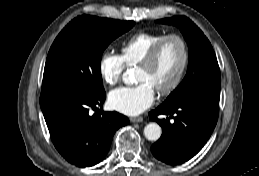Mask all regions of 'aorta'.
I'll return each mask as SVG.
<instances>
[{
	"label": "aorta",
	"mask_w": 259,
	"mask_h": 176,
	"mask_svg": "<svg viewBox=\"0 0 259 176\" xmlns=\"http://www.w3.org/2000/svg\"><path fill=\"white\" fill-rule=\"evenodd\" d=\"M122 78L125 84H130L133 82L132 75L129 71L125 72ZM161 134L162 129L157 123L151 122L144 128V135L149 141H157L161 137Z\"/></svg>",
	"instance_id": "762f6f07"
}]
</instances>
